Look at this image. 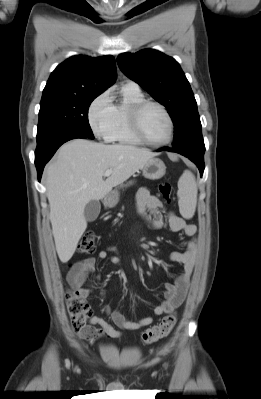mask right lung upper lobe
<instances>
[{
    "label": "right lung upper lobe",
    "instance_id": "cb5924a9",
    "mask_svg": "<svg viewBox=\"0 0 261 399\" xmlns=\"http://www.w3.org/2000/svg\"><path fill=\"white\" fill-rule=\"evenodd\" d=\"M115 79L113 56H73L59 64L52 72L42 97L100 95L115 82Z\"/></svg>",
    "mask_w": 261,
    "mask_h": 399
}]
</instances>
